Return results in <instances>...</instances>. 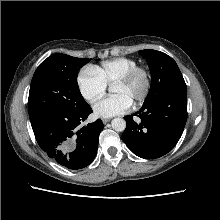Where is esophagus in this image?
<instances>
[{
	"instance_id": "34e87169",
	"label": "esophagus",
	"mask_w": 220,
	"mask_h": 220,
	"mask_svg": "<svg viewBox=\"0 0 220 220\" xmlns=\"http://www.w3.org/2000/svg\"><path fill=\"white\" fill-rule=\"evenodd\" d=\"M102 121H103L104 124H106L110 121V119L109 118H104V119H102Z\"/></svg>"
}]
</instances>
